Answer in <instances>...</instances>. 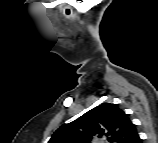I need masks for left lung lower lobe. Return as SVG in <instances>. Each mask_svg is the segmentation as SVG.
<instances>
[{"mask_svg": "<svg viewBox=\"0 0 158 143\" xmlns=\"http://www.w3.org/2000/svg\"><path fill=\"white\" fill-rule=\"evenodd\" d=\"M140 142V139H139V137H138V139L136 140V142L135 143H139Z\"/></svg>", "mask_w": 158, "mask_h": 143, "instance_id": "obj_1", "label": "left lung lower lobe"}]
</instances>
